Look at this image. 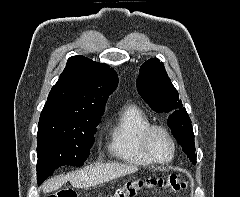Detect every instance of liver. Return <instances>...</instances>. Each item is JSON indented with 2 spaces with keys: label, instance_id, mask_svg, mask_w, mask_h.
<instances>
[{
  "label": "liver",
  "instance_id": "6515ba94",
  "mask_svg": "<svg viewBox=\"0 0 240 197\" xmlns=\"http://www.w3.org/2000/svg\"><path fill=\"white\" fill-rule=\"evenodd\" d=\"M136 171H138V167L134 165H90L67 175L52 177L44 182L41 188L44 193L53 192L61 188L67 181H70L74 188H89Z\"/></svg>",
  "mask_w": 240,
  "mask_h": 197
}]
</instances>
